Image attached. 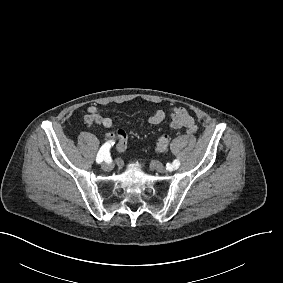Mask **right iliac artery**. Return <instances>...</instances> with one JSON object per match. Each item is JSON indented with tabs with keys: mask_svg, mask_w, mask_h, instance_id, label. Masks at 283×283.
Returning <instances> with one entry per match:
<instances>
[{
	"mask_svg": "<svg viewBox=\"0 0 283 283\" xmlns=\"http://www.w3.org/2000/svg\"><path fill=\"white\" fill-rule=\"evenodd\" d=\"M115 142L109 141L106 142L99 150L97 157H96V162L101 163L103 160H106L110 156V148L111 146L114 145Z\"/></svg>",
	"mask_w": 283,
	"mask_h": 283,
	"instance_id": "obj_1",
	"label": "right iliac artery"
}]
</instances>
